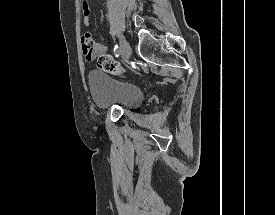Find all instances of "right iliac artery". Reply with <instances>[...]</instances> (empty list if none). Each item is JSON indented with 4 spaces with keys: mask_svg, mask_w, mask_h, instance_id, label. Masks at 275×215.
Returning <instances> with one entry per match:
<instances>
[{
    "mask_svg": "<svg viewBox=\"0 0 275 215\" xmlns=\"http://www.w3.org/2000/svg\"><path fill=\"white\" fill-rule=\"evenodd\" d=\"M120 51H121L120 48L116 45L114 47V54L116 57H118L120 55Z\"/></svg>",
    "mask_w": 275,
    "mask_h": 215,
    "instance_id": "right-iliac-artery-1",
    "label": "right iliac artery"
}]
</instances>
